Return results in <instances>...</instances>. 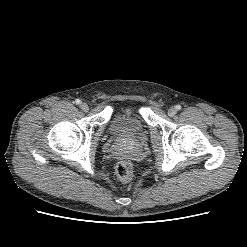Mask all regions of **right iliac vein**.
I'll use <instances>...</instances> for the list:
<instances>
[{
	"mask_svg": "<svg viewBox=\"0 0 247 247\" xmlns=\"http://www.w3.org/2000/svg\"><path fill=\"white\" fill-rule=\"evenodd\" d=\"M82 111L87 112L89 110V106L87 103H80V106Z\"/></svg>",
	"mask_w": 247,
	"mask_h": 247,
	"instance_id": "1",
	"label": "right iliac vein"
}]
</instances>
